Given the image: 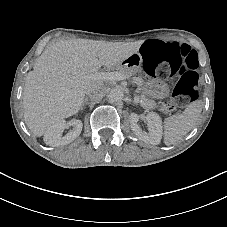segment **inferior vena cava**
Segmentation results:
<instances>
[{"label":"inferior vena cava","mask_w":227,"mask_h":227,"mask_svg":"<svg viewBox=\"0 0 227 227\" xmlns=\"http://www.w3.org/2000/svg\"><path fill=\"white\" fill-rule=\"evenodd\" d=\"M100 88H101V86H99L97 83H95L92 86L87 87L86 94L87 95L94 94L96 98H99L102 95V93L98 92L97 90H99Z\"/></svg>","instance_id":"inferior-vena-cava-1"}]
</instances>
